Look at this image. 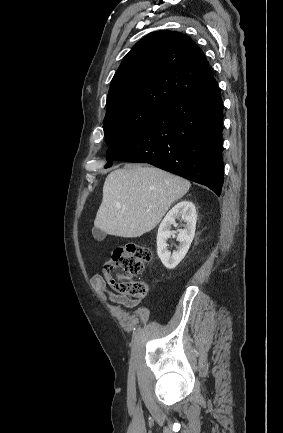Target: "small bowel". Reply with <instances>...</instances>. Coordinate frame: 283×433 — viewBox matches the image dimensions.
<instances>
[{
  "instance_id": "obj_1",
  "label": "small bowel",
  "mask_w": 283,
  "mask_h": 433,
  "mask_svg": "<svg viewBox=\"0 0 283 433\" xmlns=\"http://www.w3.org/2000/svg\"><path fill=\"white\" fill-rule=\"evenodd\" d=\"M91 284L96 291L98 297L114 307L118 318L125 325H133L135 324L137 319H140L141 321H144L146 319V315L143 312L139 313L138 315H131L126 310H124V308H137L140 305L141 300L110 293L107 290L104 278L99 274H96L91 278Z\"/></svg>"
}]
</instances>
